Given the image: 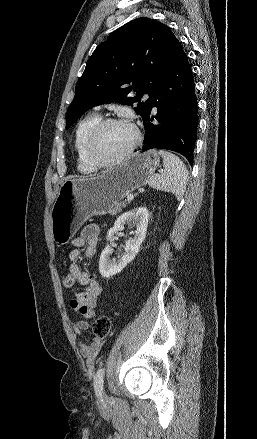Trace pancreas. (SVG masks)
I'll list each match as a JSON object with an SVG mask.
<instances>
[{
    "mask_svg": "<svg viewBox=\"0 0 257 439\" xmlns=\"http://www.w3.org/2000/svg\"><path fill=\"white\" fill-rule=\"evenodd\" d=\"M127 202L123 201V202H118L116 204H114V206L109 210V213L111 215H116L117 213H119L121 211L122 208L126 207Z\"/></svg>",
    "mask_w": 257,
    "mask_h": 439,
    "instance_id": "1",
    "label": "pancreas"
}]
</instances>
